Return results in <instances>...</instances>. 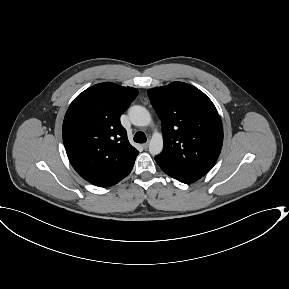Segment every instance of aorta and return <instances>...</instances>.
<instances>
[{"label":"aorta","instance_id":"1","mask_svg":"<svg viewBox=\"0 0 289 289\" xmlns=\"http://www.w3.org/2000/svg\"><path fill=\"white\" fill-rule=\"evenodd\" d=\"M130 120L135 126H148L151 123V115L149 111L139 105L129 108L128 111ZM163 150V136L159 132H155L149 143V152L151 155H158Z\"/></svg>","mask_w":289,"mask_h":289}]
</instances>
